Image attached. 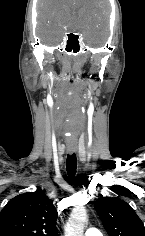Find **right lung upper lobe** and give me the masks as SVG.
Listing matches in <instances>:
<instances>
[{"label": "right lung upper lobe", "instance_id": "1", "mask_svg": "<svg viewBox=\"0 0 145 236\" xmlns=\"http://www.w3.org/2000/svg\"><path fill=\"white\" fill-rule=\"evenodd\" d=\"M57 216L42 190L20 194L0 212V236H58Z\"/></svg>", "mask_w": 145, "mask_h": 236}]
</instances>
